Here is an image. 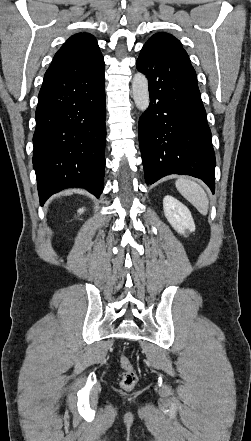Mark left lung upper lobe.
Masks as SVG:
<instances>
[{
    "mask_svg": "<svg viewBox=\"0 0 251 441\" xmlns=\"http://www.w3.org/2000/svg\"><path fill=\"white\" fill-rule=\"evenodd\" d=\"M155 52L175 55L190 62V59L183 49L180 41L168 33L154 34L143 46Z\"/></svg>",
    "mask_w": 251,
    "mask_h": 441,
    "instance_id": "left-lung-upper-lobe-1",
    "label": "left lung upper lobe"
}]
</instances>
